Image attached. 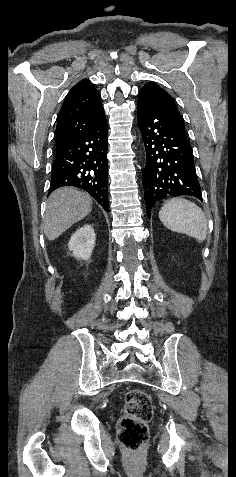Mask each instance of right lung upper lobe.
<instances>
[{"label":"right lung upper lobe","instance_id":"right-lung-upper-lobe-1","mask_svg":"<svg viewBox=\"0 0 236 477\" xmlns=\"http://www.w3.org/2000/svg\"><path fill=\"white\" fill-rule=\"evenodd\" d=\"M105 119L101 97L94 85L84 79L68 93L58 116L56 150L78 139Z\"/></svg>","mask_w":236,"mask_h":477}]
</instances>
